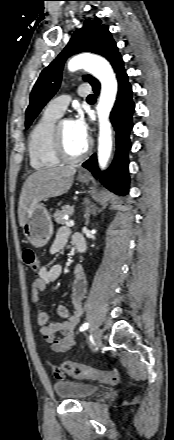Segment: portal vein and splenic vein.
Listing matches in <instances>:
<instances>
[{"instance_id":"portal-vein-and-splenic-vein-1","label":"portal vein and splenic vein","mask_w":174,"mask_h":440,"mask_svg":"<svg viewBox=\"0 0 174 440\" xmlns=\"http://www.w3.org/2000/svg\"><path fill=\"white\" fill-rule=\"evenodd\" d=\"M65 225H66V226H69V227H72V226L75 225V223H74L73 220H68V221H66Z\"/></svg>"}]
</instances>
